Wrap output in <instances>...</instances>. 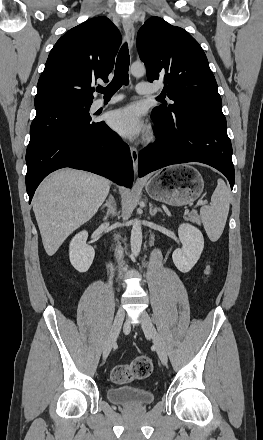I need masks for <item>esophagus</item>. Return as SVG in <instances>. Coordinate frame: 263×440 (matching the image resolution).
<instances>
[{"label": "esophagus", "mask_w": 263, "mask_h": 440, "mask_svg": "<svg viewBox=\"0 0 263 440\" xmlns=\"http://www.w3.org/2000/svg\"><path fill=\"white\" fill-rule=\"evenodd\" d=\"M123 29L126 35V39H127V43L129 46V50H132L133 47V43H134V25L131 19L129 18H125L123 19ZM130 152H131V157H132V161H133V168H134V172L135 174H137L138 171V150L135 147H131L130 148Z\"/></svg>", "instance_id": "esophagus-1"}]
</instances>
